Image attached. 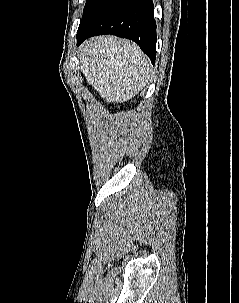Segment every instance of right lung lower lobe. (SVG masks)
<instances>
[{
    "mask_svg": "<svg viewBox=\"0 0 239 303\" xmlns=\"http://www.w3.org/2000/svg\"><path fill=\"white\" fill-rule=\"evenodd\" d=\"M102 34L133 40L154 64L157 38L152 0H107L91 22L77 32V45Z\"/></svg>",
    "mask_w": 239,
    "mask_h": 303,
    "instance_id": "98d812e1",
    "label": "right lung lower lobe"
}]
</instances>
